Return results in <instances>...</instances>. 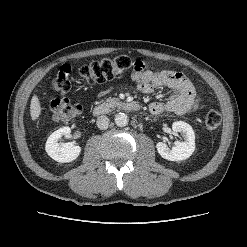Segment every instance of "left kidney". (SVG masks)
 <instances>
[{
    "label": "left kidney",
    "instance_id": "obj_1",
    "mask_svg": "<svg viewBox=\"0 0 247 247\" xmlns=\"http://www.w3.org/2000/svg\"><path fill=\"white\" fill-rule=\"evenodd\" d=\"M172 130L182 133L184 141H176L172 148L163 142H158L156 144L158 153L169 161H181L189 158L195 150V134L192 127L184 121H176L172 124Z\"/></svg>",
    "mask_w": 247,
    "mask_h": 247
}]
</instances>
